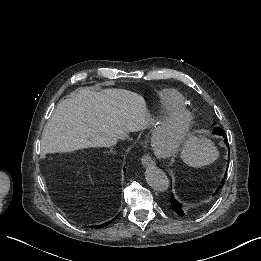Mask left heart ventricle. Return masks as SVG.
<instances>
[{
    "label": "left heart ventricle",
    "mask_w": 261,
    "mask_h": 261,
    "mask_svg": "<svg viewBox=\"0 0 261 261\" xmlns=\"http://www.w3.org/2000/svg\"><path fill=\"white\" fill-rule=\"evenodd\" d=\"M182 119L175 117L160 123L149 138V145L157 150H169L180 141Z\"/></svg>",
    "instance_id": "b2bd125f"
}]
</instances>
